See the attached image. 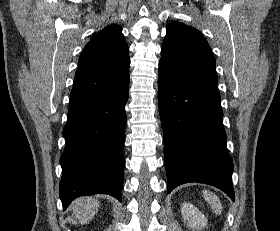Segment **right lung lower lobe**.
Here are the masks:
<instances>
[{
	"label": "right lung lower lobe",
	"mask_w": 280,
	"mask_h": 231,
	"mask_svg": "<svg viewBox=\"0 0 280 231\" xmlns=\"http://www.w3.org/2000/svg\"><path fill=\"white\" fill-rule=\"evenodd\" d=\"M127 100L128 86L69 106L63 129L66 146L60 158L64 210L75 198L98 193L121 202Z\"/></svg>",
	"instance_id": "obj_1"
}]
</instances>
